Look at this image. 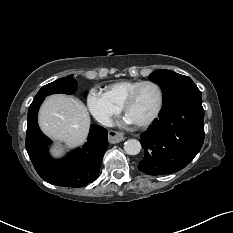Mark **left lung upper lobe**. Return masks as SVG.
<instances>
[{"label":"left lung upper lobe","mask_w":233,"mask_h":233,"mask_svg":"<svg viewBox=\"0 0 233 233\" xmlns=\"http://www.w3.org/2000/svg\"><path fill=\"white\" fill-rule=\"evenodd\" d=\"M149 79L161 87L162 109L186 98L202 97L200 90L189 77L173 71H155L149 75Z\"/></svg>","instance_id":"obj_1"}]
</instances>
